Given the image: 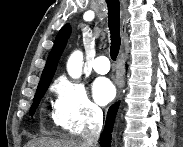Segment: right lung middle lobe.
<instances>
[{"label":"right lung middle lobe","mask_w":183,"mask_h":147,"mask_svg":"<svg viewBox=\"0 0 183 147\" xmlns=\"http://www.w3.org/2000/svg\"><path fill=\"white\" fill-rule=\"evenodd\" d=\"M47 89H48V87L37 89L36 95H35L34 100H33V104H32L31 109H30L31 116L34 114L36 108L38 107V105L40 103L41 98L44 96Z\"/></svg>","instance_id":"obj_1"}]
</instances>
